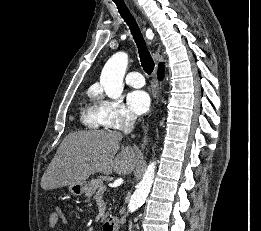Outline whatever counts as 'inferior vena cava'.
Masks as SVG:
<instances>
[{
    "label": "inferior vena cava",
    "mask_w": 261,
    "mask_h": 231,
    "mask_svg": "<svg viewBox=\"0 0 261 231\" xmlns=\"http://www.w3.org/2000/svg\"><path fill=\"white\" fill-rule=\"evenodd\" d=\"M135 118L128 116L124 124V134H130L134 129Z\"/></svg>",
    "instance_id": "602c4592"
}]
</instances>
